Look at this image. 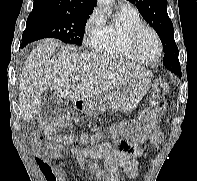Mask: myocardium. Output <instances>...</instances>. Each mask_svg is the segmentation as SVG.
<instances>
[{"mask_svg": "<svg viewBox=\"0 0 197 181\" xmlns=\"http://www.w3.org/2000/svg\"><path fill=\"white\" fill-rule=\"evenodd\" d=\"M145 31L150 32L154 36V38L156 39L157 44H158L159 52H158L157 58L154 60L144 59L138 51V47H137L138 39L141 36V34ZM127 44H128V48H129L130 52L133 54L135 59L141 63H144V64L157 63L161 59L162 54H163V45H162V41L160 39L159 34L156 32V30L154 28H152L151 26L144 24V23L134 27L130 31L128 39H127Z\"/></svg>", "mask_w": 197, "mask_h": 181, "instance_id": "myocardium-1", "label": "myocardium"}]
</instances>
